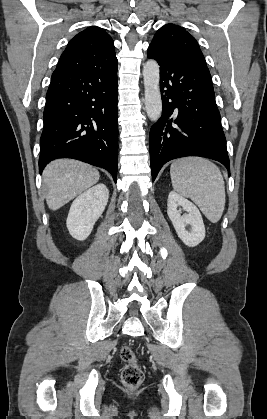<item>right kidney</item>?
Returning a JSON list of instances; mask_svg holds the SVG:
<instances>
[{"mask_svg":"<svg viewBox=\"0 0 267 419\" xmlns=\"http://www.w3.org/2000/svg\"><path fill=\"white\" fill-rule=\"evenodd\" d=\"M108 198L109 190L106 185L97 184L73 201L66 221L73 238L83 241L90 235L107 205Z\"/></svg>","mask_w":267,"mask_h":419,"instance_id":"right-kidney-1","label":"right kidney"}]
</instances>
